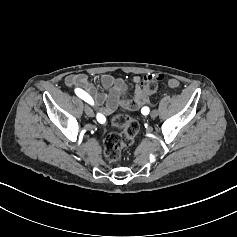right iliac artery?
Listing matches in <instances>:
<instances>
[{
	"instance_id": "82829eb1",
	"label": "right iliac artery",
	"mask_w": 237,
	"mask_h": 237,
	"mask_svg": "<svg viewBox=\"0 0 237 237\" xmlns=\"http://www.w3.org/2000/svg\"><path fill=\"white\" fill-rule=\"evenodd\" d=\"M75 93L78 97H80L81 99H83L85 102L93 105L94 102H93V99L92 97L86 93L84 90L80 89V88H76L75 89ZM105 117L102 115V114H97V121L99 123H104L105 122Z\"/></svg>"
}]
</instances>
